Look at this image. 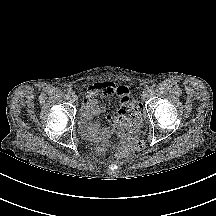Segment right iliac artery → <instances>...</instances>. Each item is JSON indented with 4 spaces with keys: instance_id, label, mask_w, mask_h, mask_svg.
Here are the masks:
<instances>
[{
    "instance_id": "82829eb1",
    "label": "right iliac artery",
    "mask_w": 216,
    "mask_h": 216,
    "mask_svg": "<svg viewBox=\"0 0 216 216\" xmlns=\"http://www.w3.org/2000/svg\"><path fill=\"white\" fill-rule=\"evenodd\" d=\"M67 92H68V94H72L73 90L72 89H68Z\"/></svg>"
}]
</instances>
